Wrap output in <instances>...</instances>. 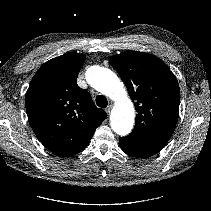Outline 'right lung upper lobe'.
<instances>
[{
  "mask_svg": "<svg viewBox=\"0 0 211 211\" xmlns=\"http://www.w3.org/2000/svg\"><path fill=\"white\" fill-rule=\"evenodd\" d=\"M85 55L74 52L43 64L26 92V111L39 141L64 157L80 153L96 128L107 117L87 90L78 87L77 76Z\"/></svg>",
  "mask_w": 211,
  "mask_h": 211,
  "instance_id": "1",
  "label": "right lung upper lobe"
}]
</instances>
